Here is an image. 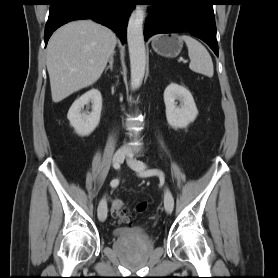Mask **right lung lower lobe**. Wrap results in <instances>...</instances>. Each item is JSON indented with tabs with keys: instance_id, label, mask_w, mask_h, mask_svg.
Returning a JSON list of instances; mask_svg holds the SVG:
<instances>
[{
	"instance_id": "obj_1",
	"label": "right lung lower lobe",
	"mask_w": 278,
	"mask_h": 278,
	"mask_svg": "<svg viewBox=\"0 0 278 278\" xmlns=\"http://www.w3.org/2000/svg\"><path fill=\"white\" fill-rule=\"evenodd\" d=\"M134 0H52L45 27V45L52 33L63 24L79 19H92L117 33L122 43Z\"/></svg>"
}]
</instances>
